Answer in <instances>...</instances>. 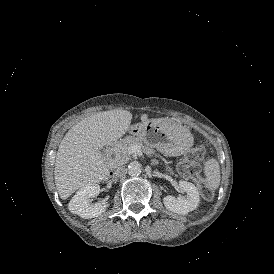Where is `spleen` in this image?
<instances>
[{
    "instance_id": "spleen-1",
    "label": "spleen",
    "mask_w": 274,
    "mask_h": 274,
    "mask_svg": "<svg viewBox=\"0 0 274 274\" xmlns=\"http://www.w3.org/2000/svg\"><path fill=\"white\" fill-rule=\"evenodd\" d=\"M204 173L206 175V185L210 189H216L220 184V167L215 159H209L204 163Z\"/></svg>"
}]
</instances>
